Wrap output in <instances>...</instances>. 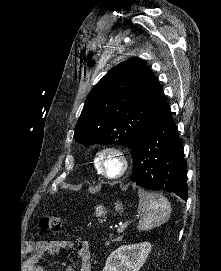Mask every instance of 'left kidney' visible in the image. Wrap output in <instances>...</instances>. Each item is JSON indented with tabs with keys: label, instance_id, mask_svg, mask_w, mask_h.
I'll return each instance as SVG.
<instances>
[{
	"label": "left kidney",
	"instance_id": "left-kidney-1",
	"mask_svg": "<svg viewBox=\"0 0 221 271\" xmlns=\"http://www.w3.org/2000/svg\"><path fill=\"white\" fill-rule=\"evenodd\" d=\"M151 249L150 241L120 245L108 255L103 271H139Z\"/></svg>",
	"mask_w": 221,
	"mask_h": 271
}]
</instances>
